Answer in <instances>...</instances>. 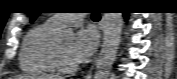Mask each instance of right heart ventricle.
I'll return each instance as SVG.
<instances>
[{"label":"right heart ventricle","mask_w":177,"mask_h":79,"mask_svg":"<svg viewBox=\"0 0 177 79\" xmlns=\"http://www.w3.org/2000/svg\"><path fill=\"white\" fill-rule=\"evenodd\" d=\"M57 31L58 28L46 21L28 33L20 55L23 71L41 75H53L58 72L54 61V37Z\"/></svg>","instance_id":"right-heart-ventricle-1"}]
</instances>
